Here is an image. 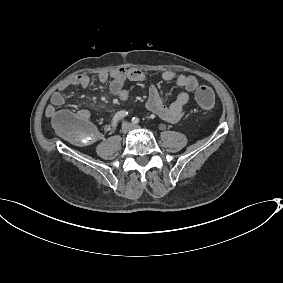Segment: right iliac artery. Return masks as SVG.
I'll return each instance as SVG.
<instances>
[{"label":"right iliac artery","mask_w":283,"mask_h":283,"mask_svg":"<svg viewBox=\"0 0 283 283\" xmlns=\"http://www.w3.org/2000/svg\"><path fill=\"white\" fill-rule=\"evenodd\" d=\"M127 115H128V112H126L124 110L117 112L112 119V126L116 127L118 121L121 120L122 118H124Z\"/></svg>","instance_id":"82829eb1"}]
</instances>
